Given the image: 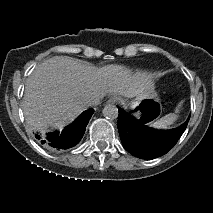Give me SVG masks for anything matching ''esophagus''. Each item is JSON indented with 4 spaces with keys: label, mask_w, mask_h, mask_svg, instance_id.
<instances>
[{
    "label": "esophagus",
    "mask_w": 213,
    "mask_h": 213,
    "mask_svg": "<svg viewBox=\"0 0 213 213\" xmlns=\"http://www.w3.org/2000/svg\"><path fill=\"white\" fill-rule=\"evenodd\" d=\"M118 101L117 97H112L108 102H111L112 104L113 103H116Z\"/></svg>",
    "instance_id": "obj_1"
}]
</instances>
